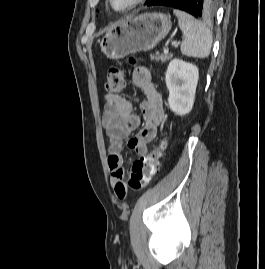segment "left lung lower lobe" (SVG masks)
<instances>
[{
	"instance_id": "left-lung-lower-lobe-1",
	"label": "left lung lower lobe",
	"mask_w": 265,
	"mask_h": 269,
	"mask_svg": "<svg viewBox=\"0 0 265 269\" xmlns=\"http://www.w3.org/2000/svg\"><path fill=\"white\" fill-rule=\"evenodd\" d=\"M148 6L163 5L186 11L196 18L210 19L215 15L216 0H150Z\"/></svg>"
}]
</instances>
